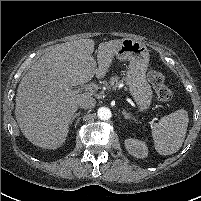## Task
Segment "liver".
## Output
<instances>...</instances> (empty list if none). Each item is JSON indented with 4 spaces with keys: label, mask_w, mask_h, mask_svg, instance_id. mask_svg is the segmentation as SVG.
Wrapping results in <instances>:
<instances>
[{
    "label": "liver",
    "mask_w": 201,
    "mask_h": 201,
    "mask_svg": "<svg viewBox=\"0 0 201 201\" xmlns=\"http://www.w3.org/2000/svg\"><path fill=\"white\" fill-rule=\"evenodd\" d=\"M121 43L122 40L100 43L97 62L92 56L94 40L63 43L30 67L17 89L15 114L22 133L31 143L56 149L65 142L80 98L93 95L68 89L89 82L94 75L103 78Z\"/></svg>",
    "instance_id": "6515ba94"
}]
</instances>
